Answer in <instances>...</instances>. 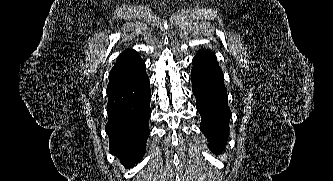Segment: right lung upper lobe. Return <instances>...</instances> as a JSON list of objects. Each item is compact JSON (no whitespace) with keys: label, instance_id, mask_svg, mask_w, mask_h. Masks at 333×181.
Returning a JSON list of instances; mask_svg holds the SVG:
<instances>
[{"label":"right lung upper lobe","instance_id":"right-lung-upper-lobe-1","mask_svg":"<svg viewBox=\"0 0 333 181\" xmlns=\"http://www.w3.org/2000/svg\"><path fill=\"white\" fill-rule=\"evenodd\" d=\"M146 72L144 61L134 50L121 53L109 74L107 92L126 85Z\"/></svg>","mask_w":333,"mask_h":181}]
</instances>
